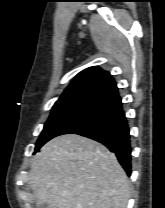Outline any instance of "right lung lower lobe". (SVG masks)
<instances>
[{"instance_id":"right-lung-lower-lobe-1","label":"right lung lower lobe","mask_w":165,"mask_h":208,"mask_svg":"<svg viewBox=\"0 0 165 208\" xmlns=\"http://www.w3.org/2000/svg\"><path fill=\"white\" fill-rule=\"evenodd\" d=\"M63 134H78L105 145L131 174L130 134L122 101L118 94L100 102L89 113L65 129Z\"/></svg>"}]
</instances>
